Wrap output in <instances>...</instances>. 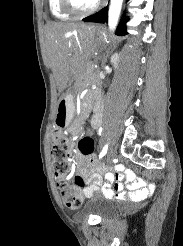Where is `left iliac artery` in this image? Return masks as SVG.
<instances>
[{
  "label": "left iliac artery",
  "mask_w": 183,
  "mask_h": 246,
  "mask_svg": "<svg viewBox=\"0 0 183 246\" xmlns=\"http://www.w3.org/2000/svg\"><path fill=\"white\" fill-rule=\"evenodd\" d=\"M107 149H108V144H106V145L103 147L102 151H101L100 154H99V159L103 158V156L107 153Z\"/></svg>",
  "instance_id": "left-iliac-artery-1"
}]
</instances>
